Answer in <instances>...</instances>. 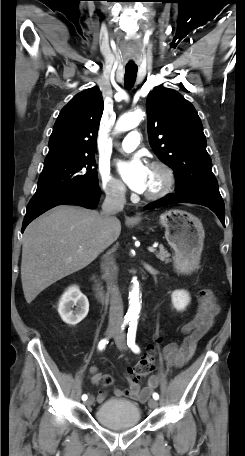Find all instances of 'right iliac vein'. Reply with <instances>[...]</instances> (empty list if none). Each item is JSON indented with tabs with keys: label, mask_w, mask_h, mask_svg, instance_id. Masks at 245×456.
<instances>
[{
	"label": "right iliac vein",
	"mask_w": 245,
	"mask_h": 456,
	"mask_svg": "<svg viewBox=\"0 0 245 456\" xmlns=\"http://www.w3.org/2000/svg\"><path fill=\"white\" fill-rule=\"evenodd\" d=\"M117 333V328L116 327H109L106 331V336L107 337H111L113 335H115ZM94 402V397L90 396L86 402H85V405L86 406H91Z\"/></svg>",
	"instance_id": "obj_1"
}]
</instances>
